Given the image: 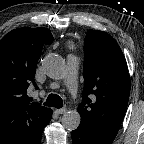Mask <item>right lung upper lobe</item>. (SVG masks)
<instances>
[{
  "label": "right lung upper lobe",
  "instance_id": "obj_1",
  "mask_svg": "<svg viewBox=\"0 0 144 144\" xmlns=\"http://www.w3.org/2000/svg\"><path fill=\"white\" fill-rule=\"evenodd\" d=\"M47 28H18L0 40V144H33L52 117V110L30 103L26 91L34 82L44 44L53 41Z\"/></svg>",
  "mask_w": 144,
  "mask_h": 144
}]
</instances>
